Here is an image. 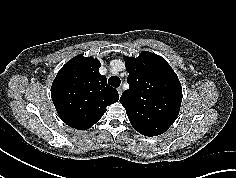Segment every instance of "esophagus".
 <instances>
[{
  "label": "esophagus",
  "instance_id": "34e87169",
  "mask_svg": "<svg viewBox=\"0 0 236 178\" xmlns=\"http://www.w3.org/2000/svg\"><path fill=\"white\" fill-rule=\"evenodd\" d=\"M117 91H118V94H119V97H120L122 95V88L121 87L117 88Z\"/></svg>",
  "mask_w": 236,
  "mask_h": 178
}]
</instances>
